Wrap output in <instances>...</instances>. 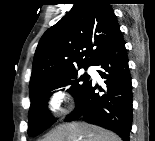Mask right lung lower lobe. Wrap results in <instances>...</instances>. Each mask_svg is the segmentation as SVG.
I'll use <instances>...</instances> for the list:
<instances>
[{"label": "right lung lower lobe", "mask_w": 155, "mask_h": 141, "mask_svg": "<svg viewBox=\"0 0 155 141\" xmlns=\"http://www.w3.org/2000/svg\"><path fill=\"white\" fill-rule=\"evenodd\" d=\"M94 66L105 79L104 89L89 81L76 99V108L66 121L83 117L86 121L116 132L129 140L132 127V82L125 41L120 32L103 50ZM99 89L100 92H95Z\"/></svg>", "instance_id": "obj_1"}]
</instances>
